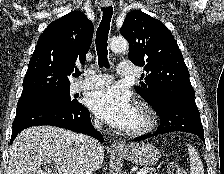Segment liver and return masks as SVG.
I'll return each mask as SVG.
<instances>
[{"instance_id": "1", "label": "liver", "mask_w": 224, "mask_h": 174, "mask_svg": "<svg viewBox=\"0 0 224 174\" xmlns=\"http://www.w3.org/2000/svg\"><path fill=\"white\" fill-rule=\"evenodd\" d=\"M83 135L53 126H34L20 132L9 150L8 174H49L43 162L57 168L52 174H83L99 169L104 160L103 147L88 154ZM64 166V169L61 167Z\"/></svg>"}]
</instances>
